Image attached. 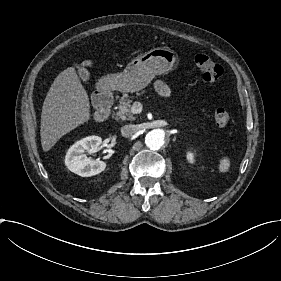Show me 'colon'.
Instances as JSON below:
<instances>
[{
  "instance_id": "obj_1",
  "label": "colon",
  "mask_w": 281,
  "mask_h": 281,
  "mask_svg": "<svg viewBox=\"0 0 281 281\" xmlns=\"http://www.w3.org/2000/svg\"><path fill=\"white\" fill-rule=\"evenodd\" d=\"M195 64L202 79L213 86L220 85L225 80L224 70L208 55L199 54L195 57ZM230 120L229 112L224 107L216 108L214 112V123L218 128L228 126Z\"/></svg>"
}]
</instances>
